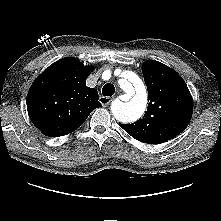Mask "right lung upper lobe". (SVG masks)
I'll return each instance as SVG.
<instances>
[{
	"mask_svg": "<svg viewBox=\"0 0 221 221\" xmlns=\"http://www.w3.org/2000/svg\"><path fill=\"white\" fill-rule=\"evenodd\" d=\"M93 67L74 58H63L49 66L32 84L27 110L35 127L49 137L67 135L102 107L95 88L86 86Z\"/></svg>",
	"mask_w": 221,
	"mask_h": 221,
	"instance_id": "1",
	"label": "right lung upper lobe"
}]
</instances>
